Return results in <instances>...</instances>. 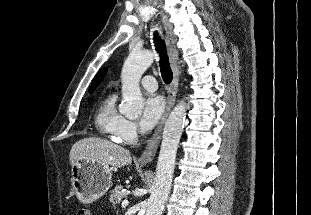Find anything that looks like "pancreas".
Wrapping results in <instances>:
<instances>
[{"label":"pancreas","instance_id":"obj_1","mask_svg":"<svg viewBox=\"0 0 311 215\" xmlns=\"http://www.w3.org/2000/svg\"><path fill=\"white\" fill-rule=\"evenodd\" d=\"M127 196V193L122 191L121 186H116L110 195V202L115 207L120 201Z\"/></svg>","mask_w":311,"mask_h":215}]
</instances>
